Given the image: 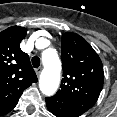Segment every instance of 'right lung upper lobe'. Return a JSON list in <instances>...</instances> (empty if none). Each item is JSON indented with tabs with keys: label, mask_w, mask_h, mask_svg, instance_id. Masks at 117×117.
<instances>
[{
	"label": "right lung upper lobe",
	"mask_w": 117,
	"mask_h": 117,
	"mask_svg": "<svg viewBox=\"0 0 117 117\" xmlns=\"http://www.w3.org/2000/svg\"><path fill=\"white\" fill-rule=\"evenodd\" d=\"M26 31L12 26L0 32V116L9 113L23 91L37 82L29 56L20 48Z\"/></svg>",
	"instance_id": "cb5924a9"
}]
</instances>
